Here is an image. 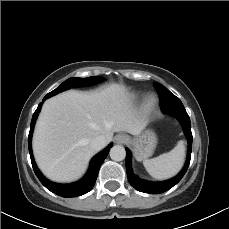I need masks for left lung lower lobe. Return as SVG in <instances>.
Wrapping results in <instances>:
<instances>
[{
    "label": "left lung lower lobe",
    "mask_w": 229,
    "mask_h": 229,
    "mask_svg": "<svg viewBox=\"0 0 229 229\" xmlns=\"http://www.w3.org/2000/svg\"><path fill=\"white\" fill-rule=\"evenodd\" d=\"M170 114L174 115L182 124L184 133L188 139V154L186 163L183 167V169L180 171V173L175 176L172 179H169L167 181L163 182H149L146 180H142L139 177H137L131 168V152L128 148L126 149V170H127V177L130 182V184L138 191L150 193V194H156V193H163L170 188H172L174 185H176L184 176L186 173L189 163H190V157H191V151H192V133H191V123L190 118L184 109L175 110L173 112H169Z\"/></svg>",
    "instance_id": "0a47b994"
}]
</instances>
